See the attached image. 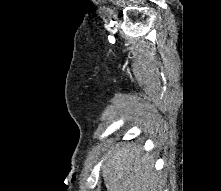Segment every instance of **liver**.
I'll return each mask as SVG.
<instances>
[{
	"instance_id": "6515ba94",
	"label": "liver",
	"mask_w": 221,
	"mask_h": 191,
	"mask_svg": "<svg viewBox=\"0 0 221 191\" xmlns=\"http://www.w3.org/2000/svg\"><path fill=\"white\" fill-rule=\"evenodd\" d=\"M108 191H159L160 176L154 171L153 155L142 146L128 143L109 150L102 165ZM161 191V190H160Z\"/></svg>"
}]
</instances>
